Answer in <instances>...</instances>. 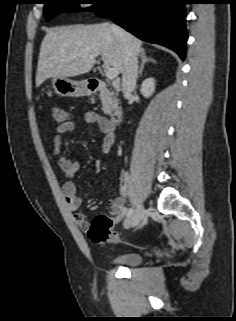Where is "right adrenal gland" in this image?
<instances>
[{"label": "right adrenal gland", "mask_w": 236, "mask_h": 321, "mask_svg": "<svg viewBox=\"0 0 236 321\" xmlns=\"http://www.w3.org/2000/svg\"><path fill=\"white\" fill-rule=\"evenodd\" d=\"M140 58H141V65H140L138 77L142 76L144 66L147 62L156 63V61L153 58L148 57L145 52L140 53Z\"/></svg>", "instance_id": "1"}]
</instances>
